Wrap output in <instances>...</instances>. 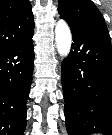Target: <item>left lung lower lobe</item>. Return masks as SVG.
I'll list each match as a JSON object with an SVG mask.
<instances>
[{
    "instance_id": "obj_1",
    "label": "left lung lower lobe",
    "mask_w": 112,
    "mask_h": 135,
    "mask_svg": "<svg viewBox=\"0 0 112 135\" xmlns=\"http://www.w3.org/2000/svg\"><path fill=\"white\" fill-rule=\"evenodd\" d=\"M72 49L61 70L69 135L112 134L110 37L71 29Z\"/></svg>"
}]
</instances>
